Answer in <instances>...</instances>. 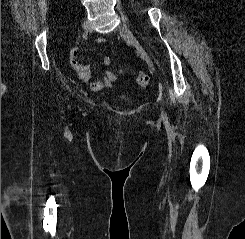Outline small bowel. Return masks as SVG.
Masks as SVG:
<instances>
[{"label": "small bowel", "instance_id": "small-bowel-1", "mask_svg": "<svg viewBox=\"0 0 245 239\" xmlns=\"http://www.w3.org/2000/svg\"><path fill=\"white\" fill-rule=\"evenodd\" d=\"M106 42L104 38H98L96 43L98 45H102ZM82 56L80 51L75 48L71 51L70 55V64L72 68L75 70L77 77L85 83H88L91 79L92 71L90 65H86L82 63ZM102 64L104 66H110L112 64V59L108 56L102 59ZM118 80L117 74L110 70H106L102 73V76L91 82L89 87L92 91L98 92L109 89L112 85Z\"/></svg>", "mask_w": 245, "mask_h": 239}]
</instances>
